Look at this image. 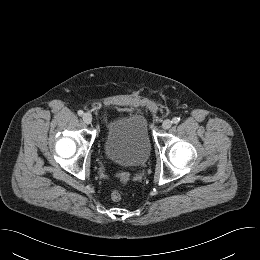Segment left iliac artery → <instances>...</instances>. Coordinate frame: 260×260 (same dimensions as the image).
I'll list each match as a JSON object with an SVG mask.
<instances>
[{
    "instance_id": "obj_1",
    "label": "left iliac artery",
    "mask_w": 260,
    "mask_h": 260,
    "mask_svg": "<svg viewBox=\"0 0 260 260\" xmlns=\"http://www.w3.org/2000/svg\"><path fill=\"white\" fill-rule=\"evenodd\" d=\"M179 121H180V118H179V117H175V118L172 119V122H173L174 124L179 123Z\"/></svg>"
}]
</instances>
